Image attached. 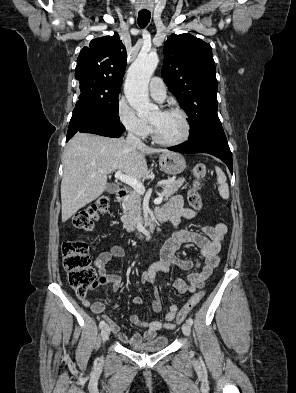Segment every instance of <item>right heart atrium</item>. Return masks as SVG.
I'll return each instance as SVG.
<instances>
[{
    "label": "right heart atrium",
    "instance_id": "obj_1",
    "mask_svg": "<svg viewBox=\"0 0 296 393\" xmlns=\"http://www.w3.org/2000/svg\"><path fill=\"white\" fill-rule=\"evenodd\" d=\"M116 111L119 121L131 135L143 139L150 134L149 123L139 117L135 109L125 99L118 101Z\"/></svg>",
    "mask_w": 296,
    "mask_h": 393
}]
</instances>
